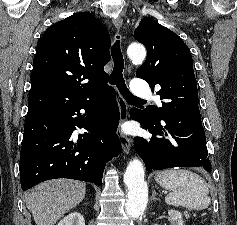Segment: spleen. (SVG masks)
Listing matches in <instances>:
<instances>
[{"label":"spleen","instance_id":"1","mask_svg":"<svg viewBox=\"0 0 237 225\" xmlns=\"http://www.w3.org/2000/svg\"><path fill=\"white\" fill-rule=\"evenodd\" d=\"M155 180L161 187L172 191L165 197L168 205L203 210L210 204L208 185L196 173L174 168L157 172Z\"/></svg>","mask_w":237,"mask_h":225}]
</instances>
